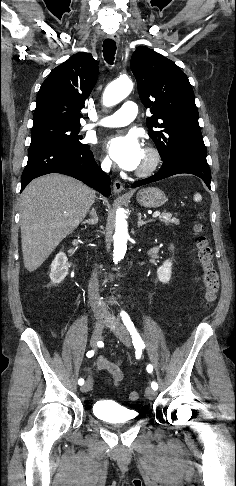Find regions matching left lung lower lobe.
I'll list each match as a JSON object with an SVG mask.
<instances>
[{
    "mask_svg": "<svg viewBox=\"0 0 236 486\" xmlns=\"http://www.w3.org/2000/svg\"><path fill=\"white\" fill-rule=\"evenodd\" d=\"M179 173L196 175L206 183L209 189H211V172L206 156L187 153L173 155L164 160L161 169L155 175L144 180L136 181L133 184V187L155 182Z\"/></svg>",
    "mask_w": 236,
    "mask_h": 486,
    "instance_id": "0a47b994",
    "label": "left lung lower lobe"
}]
</instances>
